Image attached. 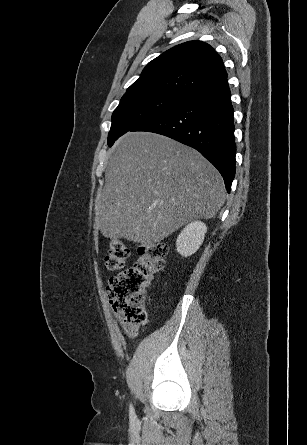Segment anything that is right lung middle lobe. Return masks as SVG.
Instances as JSON below:
<instances>
[{
  "label": "right lung middle lobe",
  "instance_id": "right-lung-middle-lobe-1",
  "mask_svg": "<svg viewBox=\"0 0 307 445\" xmlns=\"http://www.w3.org/2000/svg\"><path fill=\"white\" fill-rule=\"evenodd\" d=\"M185 98L166 95L123 96L112 115L108 145L134 127L150 121L178 106Z\"/></svg>",
  "mask_w": 307,
  "mask_h": 445
}]
</instances>
